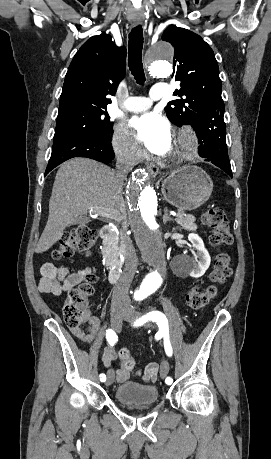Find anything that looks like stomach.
<instances>
[{
  "mask_svg": "<svg viewBox=\"0 0 271 459\" xmlns=\"http://www.w3.org/2000/svg\"><path fill=\"white\" fill-rule=\"evenodd\" d=\"M213 182L198 166H185L174 170L164 182L161 192L168 204L181 210H196L209 200Z\"/></svg>",
  "mask_w": 271,
  "mask_h": 459,
  "instance_id": "0dacf381",
  "label": "stomach"
}]
</instances>
